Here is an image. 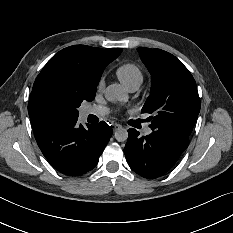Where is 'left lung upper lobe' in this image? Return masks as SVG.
<instances>
[{"label":"left lung upper lobe","instance_id":"obj_1","mask_svg":"<svg viewBox=\"0 0 233 233\" xmlns=\"http://www.w3.org/2000/svg\"><path fill=\"white\" fill-rule=\"evenodd\" d=\"M152 76L151 93L142 113H154L151 129L189 137L200 111L196 82L172 54L150 48L137 49Z\"/></svg>","mask_w":233,"mask_h":233}]
</instances>
